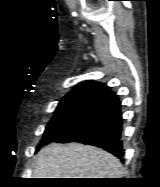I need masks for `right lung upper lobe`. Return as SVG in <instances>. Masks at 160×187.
<instances>
[{"label":"right lung upper lobe","instance_id":"obj_1","mask_svg":"<svg viewBox=\"0 0 160 187\" xmlns=\"http://www.w3.org/2000/svg\"><path fill=\"white\" fill-rule=\"evenodd\" d=\"M113 95L110 88L100 82L84 81L64 96L58 106L71 104L98 105Z\"/></svg>","mask_w":160,"mask_h":187}]
</instances>
